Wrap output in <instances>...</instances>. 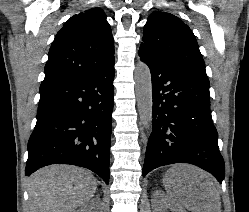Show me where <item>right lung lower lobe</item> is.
I'll list each match as a JSON object with an SVG mask.
<instances>
[{
    "instance_id": "1",
    "label": "right lung lower lobe",
    "mask_w": 249,
    "mask_h": 212,
    "mask_svg": "<svg viewBox=\"0 0 249 212\" xmlns=\"http://www.w3.org/2000/svg\"><path fill=\"white\" fill-rule=\"evenodd\" d=\"M114 61L99 71L40 91L25 175L50 164L90 169L109 183Z\"/></svg>"
}]
</instances>
